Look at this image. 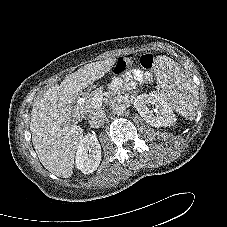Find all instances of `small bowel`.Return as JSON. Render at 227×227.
<instances>
[{"label": "small bowel", "mask_w": 227, "mask_h": 227, "mask_svg": "<svg viewBox=\"0 0 227 227\" xmlns=\"http://www.w3.org/2000/svg\"><path fill=\"white\" fill-rule=\"evenodd\" d=\"M133 77L137 81H149L150 80V74L144 73L143 71L136 69L133 71ZM125 80H129V77H125Z\"/></svg>", "instance_id": "c3829d8e"}]
</instances>
